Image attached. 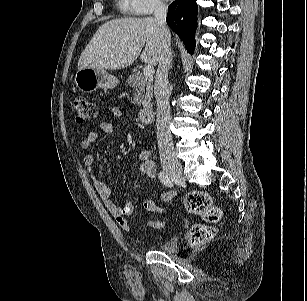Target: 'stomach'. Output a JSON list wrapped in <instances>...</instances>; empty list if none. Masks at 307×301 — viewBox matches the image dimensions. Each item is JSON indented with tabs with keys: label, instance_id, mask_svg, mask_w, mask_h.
Listing matches in <instances>:
<instances>
[{
	"label": "stomach",
	"instance_id": "0dacf381",
	"mask_svg": "<svg viewBox=\"0 0 307 301\" xmlns=\"http://www.w3.org/2000/svg\"><path fill=\"white\" fill-rule=\"evenodd\" d=\"M74 82L82 92L91 93L100 88L112 89L117 86L119 80L105 69L84 68L76 72Z\"/></svg>",
	"mask_w": 307,
	"mask_h": 301
}]
</instances>
